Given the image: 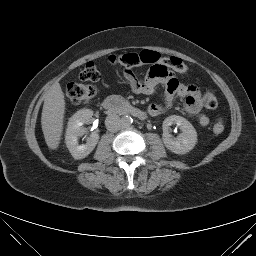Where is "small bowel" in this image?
<instances>
[{"label":"small bowel","instance_id":"1","mask_svg":"<svg viewBox=\"0 0 256 256\" xmlns=\"http://www.w3.org/2000/svg\"><path fill=\"white\" fill-rule=\"evenodd\" d=\"M171 70L165 62H160L153 65L145 77L130 69H125L124 77L135 94L151 95L159 84L165 86L164 101L151 104L148 108L150 115L161 114L169 106L172 98L178 96L184 98L186 113L195 116L199 125L207 126L210 119L202 112L200 92L195 86L180 83Z\"/></svg>","mask_w":256,"mask_h":256}]
</instances>
